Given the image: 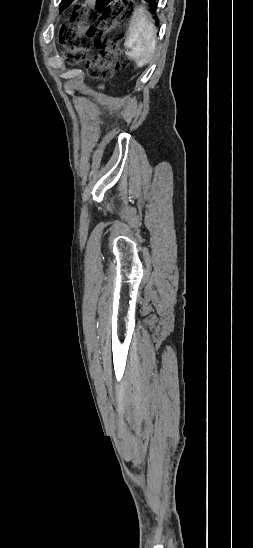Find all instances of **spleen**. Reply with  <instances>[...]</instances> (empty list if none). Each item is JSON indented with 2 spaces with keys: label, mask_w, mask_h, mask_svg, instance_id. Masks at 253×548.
<instances>
[{
  "label": "spleen",
  "mask_w": 253,
  "mask_h": 548,
  "mask_svg": "<svg viewBox=\"0 0 253 548\" xmlns=\"http://www.w3.org/2000/svg\"><path fill=\"white\" fill-rule=\"evenodd\" d=\"M125 46L129 49L126 54L136 62L137 67L151 61L156 48V27L144 7L137 8L133 13Z\"/></svg>",
  "instance_id": "3e777b00"
}]
</instances>
